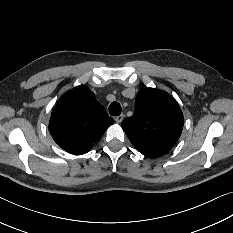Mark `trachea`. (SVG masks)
Listing matches in <instances>:
<instances>
[{
  "instance_id": "trachea-1",
  "label": "trachea",
  "mask_w": 233,
  "mask_h": 233,
  "mask_svg": "<svg viewBox=\"0 0 233 233\" xmlns=\"http://www.w3.org/2000/svg\"><path fill=\"white\" fill-rule=\"evenodd\" d=\"M111 116H119L121 113V105L118 102H112L109 106Z\"/></svg>"
}]
</instances>
